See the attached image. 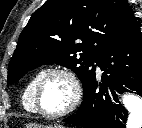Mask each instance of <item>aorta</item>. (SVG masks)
I'll list each match as a JSON object with an SVG mask.
<instances>
[{
	"instance_id": "1",
	"label": "aorta",
	"mask_w": 142,
	"mask_h": 128,
	"mask_svg": "<svg viewBox=\"0 0 142 128\" xmlns=\"http://www.w3.org/2000/svg\"><path fill=\"white\" fill-rule=\"evenodd\" d=\"M124 107L129 112L126 128L142 127V98L135 94H126L122 98Z\"/></svg>"
}]
</instances>
